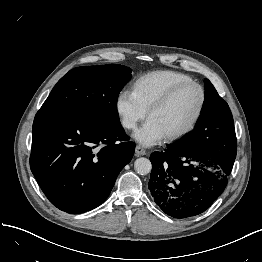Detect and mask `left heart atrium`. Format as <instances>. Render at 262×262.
Segmentation results:
<instances>
[{
    "mask_svg": "<svg viewBox=\"0 0 262 262\" xmlns=\"http://www.w3.org/2000/svg\"><path fill=\"white\" fill-rule=\"evenodd\" d=\"M134 138L145 146L161 142L166 136L156 122L149 118L134 134Z\"/></svg>",
    "mask_w": 262,
    "mask_h": 262,
    "instance_id": "obj_1",
    "label": "left heart atrium"
}]
</instances>
